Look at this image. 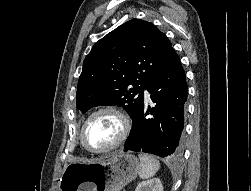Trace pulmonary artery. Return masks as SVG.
<instances>
[{"label":"pulmonary artery","instance_id":"e3ab8cb5","mask_svg":"<svg viewBox=\"0 0 251 191\" xmlns=\"http://www.w3.org/2000/svg\"><path fill=\"white\" fill-rule=\"evenodd\" d=\"M144 94H145V98L149 99V93L147 91H144Z\"/></svg>","mask_w":251,"mask_h":191}]
</instances>
